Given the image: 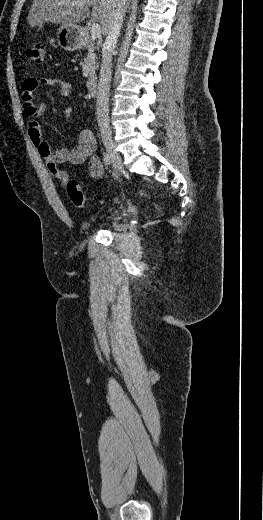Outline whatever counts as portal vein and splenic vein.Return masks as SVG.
Returning a JSON list of instances; mask_svg holds the SVG:
<instances>
[{
	"label": "portal vein and splenic vein",
	"instance_id": "18ae733b",
	"mask_svg": "<svg viewBox=\"0 0 263 520\" xmlns=\"http://www.w3.org/2000/svg\"><path fill=\"white\" fill-rule=\"evenodd\" d=\"M72 6H83L81 2L71 3ZM101 34V26L98 23H93L91 26V38L94 40Z\"/></svg>",
	"mask_w": 263,
	"mask_h": 520
}]
</instances>
